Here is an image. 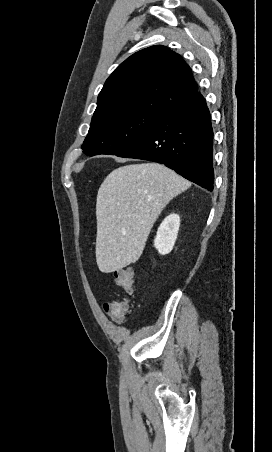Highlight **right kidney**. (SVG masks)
Masks as SVG:
<instances>
[{"instance_id": "obj_1", "label": "right kidney", "mask_w": 272, "mask_h": 452, "mask_svg": "<svg viewBox=\"0 0 272 452\" xmlns=\"http://www.w3.org/2000/svg\"><path fill=\"white\" fill-rule=\"evenodd\" d=\"M180 227V217L177 214H170L158 228L154 246L161 255L170 253L174 247Z\"/></svg>"}]
</instances>
